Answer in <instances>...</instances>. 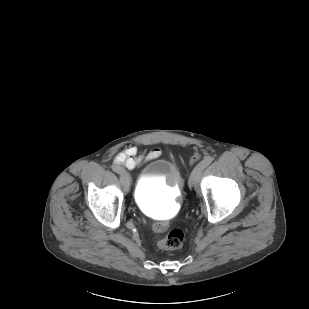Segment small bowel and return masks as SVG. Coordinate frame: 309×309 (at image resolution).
Listing matches in <instances>:
<instances>
[{
	"mask_svg": "<svg viewBox=\"0 0 309 309\" xmlns=\"http://www.w3.org/2000/svg\"><path fill=\"white\" fill-rule=\"evenodd\" d=\"M160 150L155 148L144 154H139L138 150L134 146L125 148L116 154L114 162L118 165L126 166L129 169L139 167L143 162L153 160L159 157Z\"/></svg>",
	"mask_w": 309,
	"mask_h": 309,
	"instance_id": "obj_1",
	"label": "small bowel"
}]
</instances>
